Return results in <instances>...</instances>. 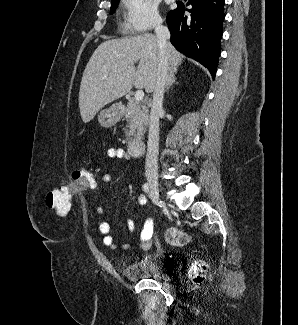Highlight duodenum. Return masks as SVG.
<instances>
[{
    "label": "duodenum",
    "instance_id": "1",
    "mask_svg": "<svg viewBox=\"0 0 298 325\" xmlns=\"http://www.w3.org/2000/svg\"><path fill=\"white\" fill-rule=\"evenodd\" d=\"M145 151V142L142 139H134L129 143V153L138 157L141 156Z\"/></svg>",
    "mask_w": 298,
    "mask_h": 325
}]
</instances>
